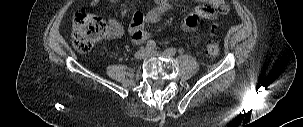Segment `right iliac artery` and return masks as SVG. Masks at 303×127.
Here are the masks:
<instances>
[{"label":"right iliac artery","instance_id":"right-iliac-artery-1","mask_svg":"<svg viewBox=\"0 0 303 127\" xmlns=\"http://www.w3.org/2000/svg\"><path fill=\"white\" fill-rule=\"evenodd\" d=\"M148 50H154L156 48V43L153 40H150L146 44Z\"/></svg>","mask_w":303,"mask_h":127}]
</instances>
